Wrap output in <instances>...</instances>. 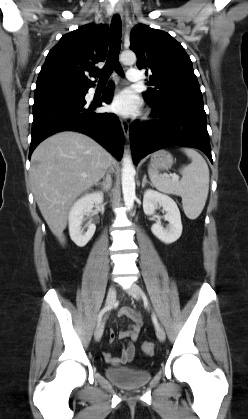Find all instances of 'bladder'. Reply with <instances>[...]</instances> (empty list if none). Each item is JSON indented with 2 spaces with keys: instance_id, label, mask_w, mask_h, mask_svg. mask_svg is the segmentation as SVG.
Returning <instances> with one entry per match:
<instances>
[{
  "instance_id": "obj_1",
  "label": "bladder",
  "mask_w": 248,
  "mask_h": 419,
  "mask_svg": "<svg viewBox=\"0 0 248 419\" xmlns=\"http://www.w3.org/2000/svg\"><path fill=\"white\" fill-rule=\"evenodd\" d=\"M105 376L116 385L125 389H135L145 386L152 377L148 369L135 367H107Z\"/></svg>"
}]
</instances>
